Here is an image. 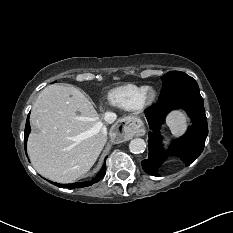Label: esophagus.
<instances>
[{"label":"esophagus","mask_w":233,"mask_h":233,"mask_svg":"<svg viewBox=\"0 0 233 233\" xmlns=\"http://www.w3.org/2000/svg\"><path fill=\"white\" fill-rule=\"evenodd\" d=\"M142 121L134 116H128L118 121L112 128V133L116 139H127L132 135L142 134Z\"/></svg>","instance_id":"1"}]
</instances>
